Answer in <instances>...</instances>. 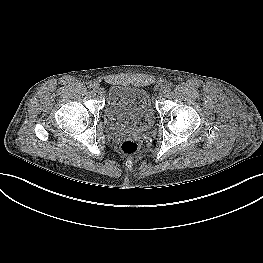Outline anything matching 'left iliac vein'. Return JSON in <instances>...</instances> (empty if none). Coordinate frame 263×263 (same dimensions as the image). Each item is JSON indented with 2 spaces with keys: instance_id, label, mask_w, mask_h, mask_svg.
<instances>
[{
  "instance_id": "1",
  "label": "left iliac vein",
  "mask_w": 263,
  "mask_h": 263,
  "mask_svg": "<svg viewBox=\"0 0 263 263\" xmlns=\"http://www.w3.org/2000/svg\"><path fill=\"white\" fill-rule=\"evenodd\" d=\"M165 94H166V90H162V91L159 93V95H160L161 97L165 96Z\"/></svg>"
}]
</instances>
